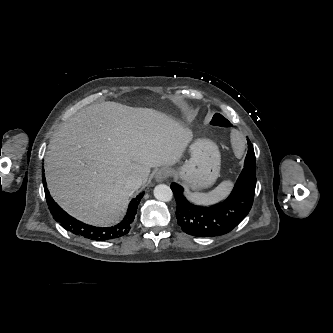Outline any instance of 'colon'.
<instances>
[{
  "mask_svg": "<svg viewBox=\"0 0 333 333\" xmlns=\"http://www.w3.org/2000/svg\"><path fill=\"white\" fill-rule=\"evenodd\" d=\"M209 123L212 126L219 127V128H227L230 127L229 121L219 113H213L209 117Z\"/></svg>",
  "mask_w": 333,
  "mask_h": 333,
  "instance_id": "5ec220e1",
  "label": "colon"
}]
</instances>
